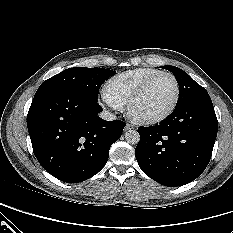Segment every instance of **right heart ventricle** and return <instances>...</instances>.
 <instances>
[{
  "label": "right heart ventricle",
  "mask_w": 233,
  "mask_h": 233,
  "mask_svg": "<svg viewBox=\"0 0 233 233\" xmlns=\"http://www.w3.org/2000/svg\"><path fill=\"white\" fill-rule=\"evenodd\" d=\"M160 71V69L152 67L129 70L112 77L106 83L105 88L118 102L124 105L148 78Z\"/></svg>",
  "instance_id": "right-heart-ventricle-1"
}]
</instances>
